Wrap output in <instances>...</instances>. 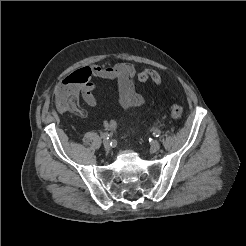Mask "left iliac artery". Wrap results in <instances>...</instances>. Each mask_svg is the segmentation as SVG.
<instances>
[{"label":"left iliac artery","instance_id":"44dca946","mask_svg":"<svg viewBox=\"0 0 246 246\" xmlns=\"http://www.w3.org/2000/svg\"><path fill=\"white\" fill-rule=\"evenodd\" d=\"M161 134V131L159 129H156L154 132H153V136L155 137H159Z\"/></svg>","mask_w":246,"mask_h":246}]
</instances>
